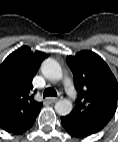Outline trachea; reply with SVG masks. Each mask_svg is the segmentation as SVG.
Listing matches in <instances>:
<instances>
[{
    "mask_svg": "<svg viewBox=\"0 0 118 142\" xmlns=\"http://www.w3.org/2000/svg\"><path fill=\"white\" fill-rule=\"evenodd\" d=\"M57 96V92L52 88H46L43 93V97Z\"/></svg>",
    "mask_w": 118,
    "mask_h": 142,
    "instance_id": "3493384b",
    "label": "trachea"
}]
</instances>
